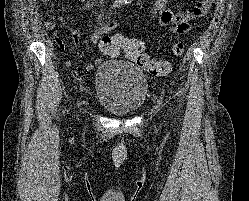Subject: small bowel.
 Masks as SVG:
<instances>
[{
  "mask_svg": "<svg viewBox=\"0 0 249 201\" xmlns=\"http://www.w3.org/2000/svg\"><path fill=\"white\" fill-rule=\"evenodd\" d=\"M170 1L171 0H154L151 9V15L153 18H155L158 21L160 26L167 28L172 33L183 34L188 32L192 28V22L194 20L203 17L208 13L211 5L214 3L215 0H198L192 8H187L178 13H174L169 9L168 5ZM117 26L118 23L113 20H109L106 23H104L102 26H100L97 30H95L92 33L90 37L92 43L94 44L99 43L103 35L112 32ZM44 27L48 31H51L54 34L59 49L64 50L65 48L64 43L58 37L55 31V24L51 21H46L44 22ZM69 31L74 44L77 45L81 38L80 31L75 27H70ZM102 61H103L102 58L100 57L96 58L93 63L86 64L85 70L88 72L92 71L95 68V66L100 65ZM72 65L73 63L71 60L65 61L66 67L70 68L72 67ZM72 74L76 78L80 77V71L78 70H73Z\"/></svg>",
  "mask_w": 249,
  "mask_h": 201,
  "instance_id": "small-bowel-1",
  "label": "small bowel"
}]
</instances>
